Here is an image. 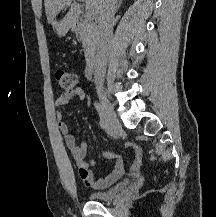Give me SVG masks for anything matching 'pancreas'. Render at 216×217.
Returning a JSON list of instances; mask_svg holds the SVG:
<instances>
[{
	"label": "pancreas",
	"instance_id": "1",
	"mask_svg": "<svg viewBox=\"0 0 216 217\" xmlns=\"http://www.w3.org/2000/svg\"><path fill=\"white\" fill-rule=\"evenodd\" d=\"M80 37L85 51L87 52L92 50L96 45V25L90 21H84L80 25Z\"/></svg>",
	"mask_w": 216,
	"mask_h": 217
}]
</instances>
